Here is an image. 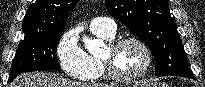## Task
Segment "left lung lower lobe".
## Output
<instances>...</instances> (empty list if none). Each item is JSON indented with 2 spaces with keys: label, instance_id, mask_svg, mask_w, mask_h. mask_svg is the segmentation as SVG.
Returning <instances> with one entry per match:
<instances>
[{
  "label": "left lung lower lobe",
  "instance_id": "left-lung-lower-lobe-1",
  "mask_svg": "<svg viewBox=\"0 0 205 87\" xmlns=\"http://www.w3.org/2000/svg\"><path fill=\"white\" fill-rule=\"evenodd\" d=\"M187 78H190V79H195L194 75L191 73L189 75L186 76Z\"/></svg>",
  "mask_w": 205,
  "mask_h": 87
}]
</instances>
